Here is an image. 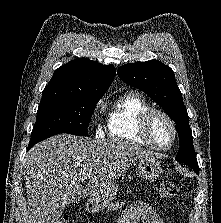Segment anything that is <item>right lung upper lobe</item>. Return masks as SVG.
Masks as SVG:
<instances>
[{
    "mask_svg": "<svg viewBox=\"0 0 221 223\" xmlns=\"http://www.w3.org/2000/svg\"><path fill=\"white\" fill-rule=\"evenodd\" d=\"M115 76L113 65L104 66L87 58H79L55 70L42 93L41 102L101 98Z\"/></svg>",
    "mask_w": 221,
    "mask_h": 223,
    "instance_id": "cb5924a9",
    "label": "right lung upper lobe"
}]
</instances>
